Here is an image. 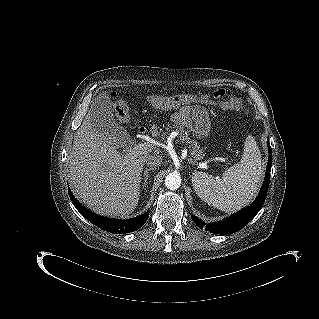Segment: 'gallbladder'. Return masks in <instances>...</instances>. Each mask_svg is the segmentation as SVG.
Here are the masks:
<instances>
[{
    "label": "gallbladder",
    "instance_id": "bac80fb5",
    "mask_svg": "<svg viewBox=\"0 0 319 319\" xmlns=\"http://www.w3.org/2000/svg\"><path fill=\"white\" fill-rule=\"evenodd\" d=\"M91 112L92 124L98 134L108 140L127 137V131L114 118L112 103L106 93L95 98L91 104Z\"/></svg>",
    "mask_w": 319,
    "mask_h": 319
}]
</instances>
